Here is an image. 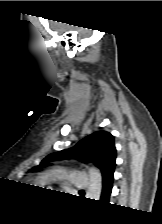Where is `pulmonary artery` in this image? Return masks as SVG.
Returning <instances> with one entry per match:
<instances>
[{
	"instance_id": "obj_1",
	"label": "pulmonary artery",
	"mask_w": 162,
	"mask_h": 224,
	"mask_svg": "<svg viewBox=\"0 0 162 224\" xmlns=\"http://www.w3.org/2000/svg\"><path fill=\"white\" fill-rule=\"evenodd\" d=\"M67 179L71 182L72 186L76 189H83L88 186L89 177L84 172H72Z\"/></svg>"
}]
</instances>
